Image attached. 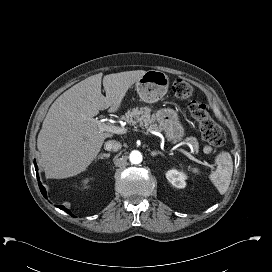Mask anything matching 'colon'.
I'll return each instance as SVG.
<instances>
[{
  "label": "colon",
  "instance_id": "colon-1",
  "mask_svg": "<svg viewBox=\"0 0 272 272\" xmlns=\"http://www.w3.org/2000/svg\"><path fill=\"white\" fill-rule=\"evenodd\" d=\"M172 93L176 98L188 102L191 115L197 121L203 139L214 147H221L225 142V135L209 117L205 104L194 97L193 86L179 79L173 83Z\"/></svg>",
  "mask_w": 272,
  "mask_h": 272
}]
</instances>
